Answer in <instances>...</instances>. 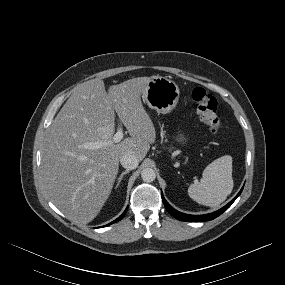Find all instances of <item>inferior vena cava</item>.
<instances>
[{
	"label": "inferior vena cava",
	"mask_w": 285,
	"mask_h": 285,
	"mask_svg": "<svg viewBox=\"0 0 285 285\" xmlns=\"http://www.w3.org/2000/svg\"><path fill=\"white\" fill-rule=\"evenodd\" d=\"M138 159L131 153H126L120 158L121 165L127 170H133L138 166Z\"/></svg>",
	"instance_id": "602c4592"
}]
</instances>
